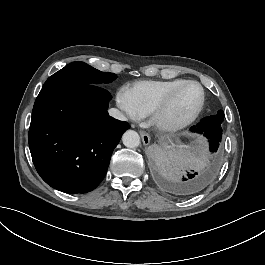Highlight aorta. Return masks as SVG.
<instances>
[{
  "label": "aorta",
  "instance_id": "762f6f07",
  "mask_svg": "<svg viewBox=\"0 0 265 265\" xmlns=\"http://www.w3.org/2000/svg\"><path fill=\"white\" fill-rule=\"evenodd\" d=\"M123 144L127 148H137L140 145V137L137 132L133 130H128L124 133L123 137Z\"/></svg>",
  "mask_w": 265,
  "mask_h": 265
}]
</instances>
